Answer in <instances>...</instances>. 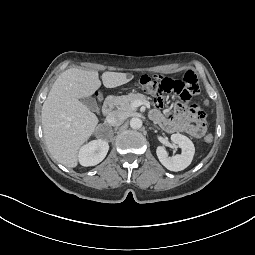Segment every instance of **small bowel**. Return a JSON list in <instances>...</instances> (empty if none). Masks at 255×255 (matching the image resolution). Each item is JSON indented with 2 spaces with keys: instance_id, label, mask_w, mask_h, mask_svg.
Returning a JSON list of instances; mask_svg holds the SVG:
<instances>
[{
  "instance_id": "small-bowel-1",
  "label": "small bowel",
  "mask_w": 255,
  "mask_h": 255,
  "mask_svg": "<svg viewBox=\"0 0 255 255\" xmlns=\"http://www.w3.org/2000/svg\"><path fill=\"white\" fill-rule=\"evenodd\" d=\"M152 117L170 133L180 132L193 138H200L206 131V126L198 122L194 114L188 113L182 107H178L173 116L163 115L158 110H154Z\"/></svg>"
}]
</instances>
